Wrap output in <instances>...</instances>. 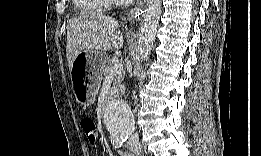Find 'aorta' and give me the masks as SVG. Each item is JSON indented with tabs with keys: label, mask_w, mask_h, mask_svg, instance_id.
Wrapping results in <instances>:
<instances>
[{
	"label": "aorta",
	"mask_w": 261,
	"mask_h": 156,
	"mask_svg": "<svg viewBox=\"0 0 261 156\" xmlns=\"http://www.w3.org/2000/svg\"><path fill=\"white\" fill-rule=\"evenodd\" d=\"M161 9V0L148 1L138 39V55L141 61L148 60L153 49ZM104 121L108 132L113 138L125 140L134 130L133 113L122 100H114L107 105Z\"/></svg>",
	"instance_id": "aorta-1"
}]
</instances>
